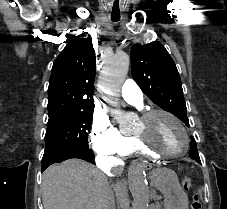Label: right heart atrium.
Masks as SVG:
<instances>
[{"mask_svg":"<svg viewBox=\"0 0 227 209\" xmlns=\"http://www.w3.org/2000/svg\"><path fill=\"white\" fill-rule=\"evenodd\" d=\"M129 138L104 117H97L92 125L91 144L100 156L115 158L123 155Z\"/></svg>","mask_w":227,"mask_h":209,"instance_id":"right-heart-atrium-1","label":"right heart atrium"}]
</instances>
